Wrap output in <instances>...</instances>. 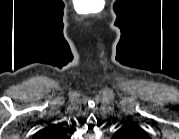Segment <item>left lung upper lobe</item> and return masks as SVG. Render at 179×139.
Segmentation results:
<instances>
[{
  "label": "left lung upper lobe",
  "mask_w": 179,
  "mask_h": 139,
  "mask_svg": "<svg viewBox=\"0 0 179 139\" xmlns=\"http://www.w3.org/2000/svg\"><path fill=\"white\" fill-rule=\"evenodd\" d=\"M123 131H127L130 134H139L145 136L146 133L144 130H142L140 127L129 124L123 128Z\"/></svg>",
  "instance_id": "left-lung-upper-lobe-1"
}]
</instances>
